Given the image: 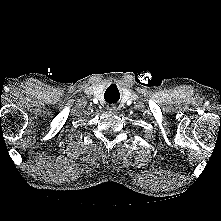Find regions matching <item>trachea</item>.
Here are the masks:
<instances>
[{
  "label": "trachea",
  "mask_w": 221,
  "mask_h": 221,
  "mask_svg": "<svg viewBox=\"0 0 221 221\" xmlns=\"http://www.w3.org/2000/svg\"><path fill=\"white\" fill-rule=\"evenodd\" d=\"M112 88H116V86L115 85H112V86H110L108 89H107V91L105 92L106 94H105V99L109 102V103H111V100H109V99H107L108 98V95H107V93H109V91L112 89ZM112 97L114 98V101H112V102H115L116 100H117V95L115 94V93H112ZM116 99V100H115Z\"/></svg>",
  "instance_id": "3493384b"
}]
</instances>
